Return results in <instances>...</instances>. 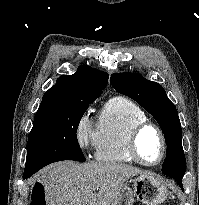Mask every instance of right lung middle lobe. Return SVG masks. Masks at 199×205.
Here are the masks:
<instances>
[{
	"label": "right lung middle lobe",
	"instance_id": "right-lung-middle-lobe-1",
	"mask_svg": "<svg viewBox=\"0 0 199 205\" xmlns=\"http://www.w3.org/2000/svg\"><path fill=\"white\" fill-rule=\"evenodd\" d=\"M86 99L36 113L27 143L24 175H33L60 160L86 161L77 141V128L89 104Z\"/></svg>",
	"mask_w": 199,
	"mask_h": 205
}]
</instances>
